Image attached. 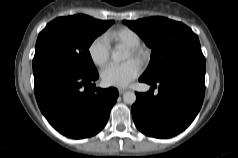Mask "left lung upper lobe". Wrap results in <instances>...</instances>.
<instances>
[{
	"mask_svg": "<svg viewBox=\"0 0 238 158\" xmlns=\"http://www.w3.org/2000/svg\"><path fill=\"white\" fill-rule=\"evenodd\" d=\"M152 48L147 70L140 77L155 81L178 65L205 61L197 35L186 25L163 17L123 21Z\"/></svg>",
	"mask_w": 238,
	"mask_h": 158,
	"instance_id": "5c2ea615",
	"label": "left lung upper lobe"
}]
</instances>
